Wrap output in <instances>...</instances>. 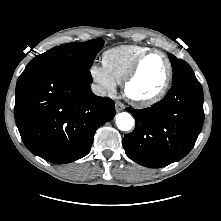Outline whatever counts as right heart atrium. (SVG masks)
Segmentation results:
<instances>
[{
  "mask_svg": "<svg viewBox=\"0 0 221 221\" xmlns=\"http://www.w3.org/2000/svg\"><path fill=\"white\" fill-rule=\"evenodd\" d=\"M89 75L99 93L105 96L116 94V82L109 76L103 65L92 64L89 68Z\"/></svg>",
  "mask_w": 221,
  "mask_h": 221,
  "instance_id": "1",
  "label": "right heart atrium"
}]
</instances>
